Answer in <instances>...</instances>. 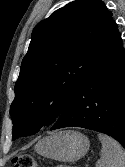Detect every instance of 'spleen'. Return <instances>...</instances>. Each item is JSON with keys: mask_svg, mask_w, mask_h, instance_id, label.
<instances>
[{"mask_svg": "<svg viewBox=\"0 0 125 167\" xmlns=\"http://www.w3.org/2000/svg\"><path fill=\"white\" fill-rule=\"evenodd\" d=\"M99 139L102 143V149L96 167H125V151L121 145L103 134H99Z\"/></svg>", "mask_w": 125, "mask_h": 167, "instance_id": "3e777b00", "label": "spleen"}]
</instances>
